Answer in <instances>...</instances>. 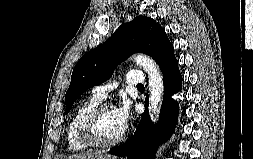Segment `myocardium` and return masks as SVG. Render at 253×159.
<instances>
[{
    "instance_id": "1",
    "label": "myocardium",
    "mask_w": 253,
    "mask_h": 159,
    "mask_svg": "<svg viewBox=\"0 0 253 159\" xmlns=\"http://www.w3.org/2000/svg\"><path fill=\"white\" fill-rule=\"evenodd\" d=\"M108 108H115V106L111 102H100L87 113L82 121L80 127V139L86 146L91 148H107L118 145L124 140L126 135L125 130L120 134V136L113 140L102 141L99 139L96 132V124L101 113Z\"/></svg>"
}]
</instances>
